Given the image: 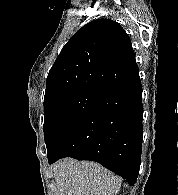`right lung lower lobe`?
I'll return each instance as SVG.
<instances>
[{"label": "right lung lower lobe", "instance_id": "98d812e1", "mask_svg": "<svg viewBox=\"0 0 178 195\" xmlns=\"http://www.w3.org/2000/svg\"><path fill=\"white\" fill-rule=\"evenodd\" d=\"M142 119L138 72L100 90L78 124L48 155V162L65 157L96 161L134 185L141 164Z\"/></svg>", "mask_w": 178, "mask_h": 195}]
</instances>
